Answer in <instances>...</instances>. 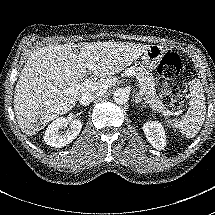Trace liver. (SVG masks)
Masks as SVG:
<instances>
[{"label":"liver","instance_id":"liver-1","mask_svg":"<svg viewBox=\"0 0 215 215\" xmlns=\"http://www.w3.org/2000/svg\"><path fill=\"white\" fill-rule=\"evenodd\" d=\"M148 46L112 40L63 43L32 51L14 90L19 128L33 137L51 120L70 112L84 93L102 90L84 87L89 72L94 78L113 76L130 66Z\"/></svg>","mask_w":215,"mask_h":215}]
</instances>
